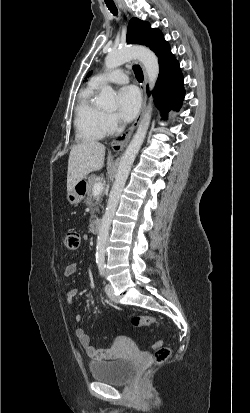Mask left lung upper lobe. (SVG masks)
Returning a JSON list of instances; mask_svg holds the SVG:
<instances>
[{
  "label": "left lung upper lobe",
  "instance_id": "1",
  "mask_svg": "<svg viewBox=\"0 0 250 413\" xmlns=\"http://www.w3.org/2000/svg\"><path fill=\"white\" fill-rule=\"evenodd\" d=\"M127 43L146 45L152 51H160L168 45L160 30L151 28L148 22L138 18H132L129 21Z\"/></svg>",
  "mask_w": 250,
  "mask_h": 413
}]
</instances>
